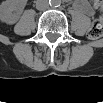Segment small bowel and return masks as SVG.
Here are the masks:
<instances>
[{
	"label": "small bowel",
	"mask_w": 103,
	"mask_h": 103,
	"mask_svg": "<svg viewBox=\"0 0 103 103\" xmlns=\"http://www.w3.org/2000/svg\"><path fill=\"white\" fill-rule=\"evenodd\" d=\"M76 7L81 13L85 14L86 16L91 17L95 14L93 6L88 1H81L76 5Z\"/></svg>",
	"instance_id": "c3829d8e"
}]
</instances>
